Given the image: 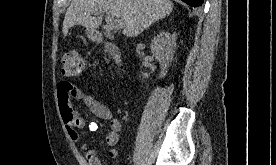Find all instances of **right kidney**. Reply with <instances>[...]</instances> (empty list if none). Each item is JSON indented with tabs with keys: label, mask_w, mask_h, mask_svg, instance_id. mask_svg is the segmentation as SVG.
<instances>
[{
	"label": "right kidney",
	"mask_w": 276,
	"mask_h": 165,
	"mask_svg": "<svg viewBox=\"0 0 276 165\" xmlns=\"http://www.w3.org/2000/svg\"><path fill=\"white\" fill-rule=\"evenodd\" d=\"M176 34L161 32L154 37L151 42V52L161 65L160 77L163 78L167 73L171 61L173 60L176 47Z\"/></svg>",
	"instance_id": "1"
}]
</instances>
